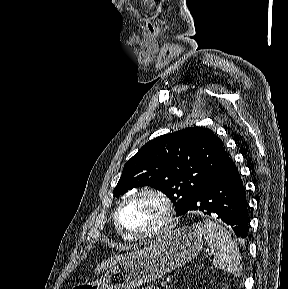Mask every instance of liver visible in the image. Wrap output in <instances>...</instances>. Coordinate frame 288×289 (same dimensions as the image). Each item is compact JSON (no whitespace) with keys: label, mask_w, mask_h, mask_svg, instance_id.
Wrapping results in <instances>:
<instances>
[{"label":"liver","mask_w":288,"mask_h":289,"mask_svg":"<svg viewBox=\"0 0 288 289\" xmlns=\"http://www.w3.org/2000/svg\"><path fill=\"white\" fill-rule=\"evenodd\" d=\"M139 251H135V252H130L128 254H120V255H116L113 258H110L106 261H103L100 265L97 266L96 268V272H102L107 270L108 268H111L112 266L116 265L117 263L120 262H126L128 260H130L131 258L135 257L136 254H138Z\"/></svg>","instance_id":"liver-1"}]
</instances>
